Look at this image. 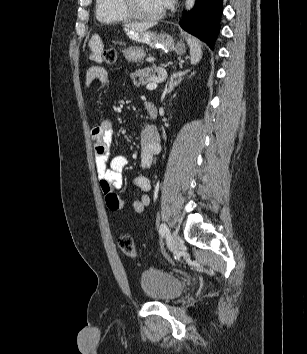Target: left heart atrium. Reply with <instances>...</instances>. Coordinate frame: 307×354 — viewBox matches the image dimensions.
<instances>
[{
    "instance_id": "left-heart-atrium-1",
    "label": "left heart atrium",
    "mask_w": 307,
    "mask_h": 354,
    "mask_svg": "<svg viewBox=\"0 0 307 354\" xmlns=\"http://www.w3.org/2000/svg\"><path fill=\"white\" fill-rule=\"evenodd\" d=\"M159 2H160L162 9H164V8L171 6L173 4L174 0H159Z\"/></svg>"
}]
</instances>
